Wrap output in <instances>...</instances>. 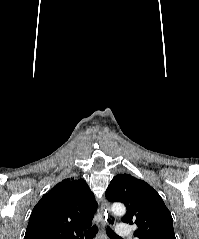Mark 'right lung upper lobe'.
I'll return each instance as SVG.
<instances>
[{
	"label": "right lung upper lobe",
	"mask_w": 199,
	"mask_h": 239,
	"mask_svg": "<svg viewBox=\"0 0 199 239\" xmlns=\"http://www.w3.org/2000/svg\"><path fill=\"white\" fill-rule=\"evenodd\" d=\"M97 206L82 178L65 179L34 207L24 239H80L91 227Z\"/></svg>",
	"instance_id": "cb5924a9"
}]
</instances>
